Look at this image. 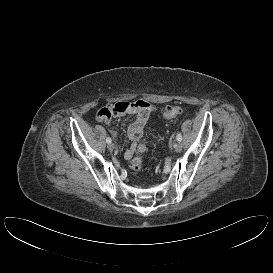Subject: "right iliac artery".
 Returning <instances> with one entry per match:
<instances>
[{
    "mask_svg": "<svg viewBox=\"0 0 273 273\" xmlns=\"http://www.w3.org/2000/svg\"><path fill=\"white\" fill-rule=\"evenodd\" d=\"M106 142H107L108 144L111 143V142H112L111 138H110V137H107Z\"/></svg>",
    "mask_w": 273,
    "mask_h": 273,
    "instance_id": "1",
    "label": "right iliac artery"
}]
</instances>
